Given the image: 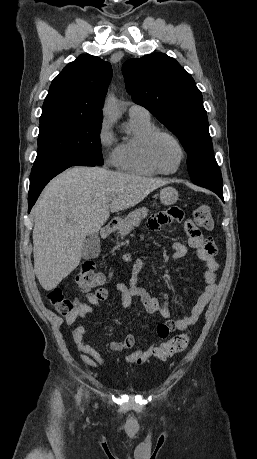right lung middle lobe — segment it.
I'll return each instance as SVG.
<instances>
[{"label": "right lung middle lobe", "instance_id": "obj_1", "mask_svg": "<svg viewBox=\"0 0 257 459\" xmlns=\"http://www.w3.org/2000/svg\"><path fill=\"white\" fill-rule=\"evenodd\" d=\"M101 125L100 119L65 113L42 114L34 165L72 158L103 165L100 149Z\"/></svg>", "mask_w": 257, "mask_h": 459}]
</instances>
